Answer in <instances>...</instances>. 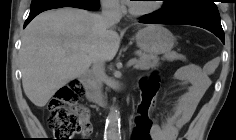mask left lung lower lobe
I'll return each mask as SVG.
<instances>
[{
  "label": "left lung lower lobe",
  "mask_w": 236,
  "mask_h": 140,
  "mask_svg": "<svg viewBox=\"0 0 236 140\" xmlns=\"http://www.w3.org/2000/svg\"><path fill=\"white\" fill-rule=\"evenodd\" d=\"M141 23L147 24H184V25H193L198 26L204 29L209 30L215 34L223 43L225 41L224 31L222 29L220 20L198 17V16H173L166 17L160 12L142 19Z\"/></svg>",
  "instance_id": "obj_1"
}]
</instances>
